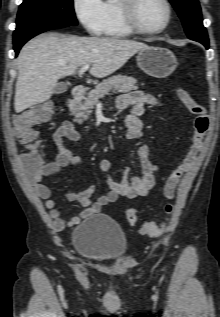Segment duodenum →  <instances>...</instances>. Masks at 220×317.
Returning a JSON list of instances; mask_svg holds the SVG:
<instances>
[{"mask_svg": "<svg viewBox=\"0 0 220 317\" xmlns=\"http://www.w3.org/2000/svg\"><path fill=\"white\" fill-rule=\"evenodd\" d=\"M87 88L84 85L75 86L72 90L71 97L66 102L67 108H72L78 100H80L86 94Z\"/></svg>", "mask_w": 220, "mask_h": 317, "instance_id": "410a0bca", "label": "duodenum"}]
</instances>
